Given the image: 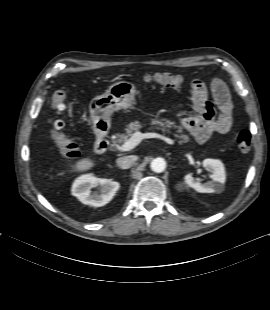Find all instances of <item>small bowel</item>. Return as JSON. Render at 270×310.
Listing matches in <instances>:
<instances>
[{
    "label": "small bowel",
    "instance_id": "1",
    "mask_svg": "<svg viewBox=\"0 0 270 310\" xmlns=\"http://www.w3.org/2000/svg\"><path fill=\"white\" fill-rule=\"evenodd\" d=\"M193 114L182 121L183 127L195 138L198 143H205L214 133L225 134L233 125V102L226 84L218 78L210 81V90L218 109V116L208 111V90L201 80L191 82Z\"/></svg>",
    "mask_w": 270,
    "mask_h": 310
}]
</instances>
